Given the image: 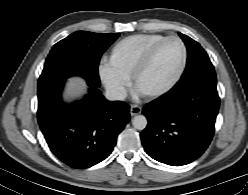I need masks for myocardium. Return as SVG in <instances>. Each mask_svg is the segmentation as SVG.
Returning a JSON list of instances; mask_svg holds the SVG:
<instances>
[{
  "label": "myocardium",
  "mask_w": 248,
  "mask_h": 195,
  "mask_svg": "<svg viewBox=\"0 0 248 195\" xmlns=\"http://www.w3.org/2000/svg\"><path fill=\"white\" fill-rule=\"evenodd\" d=\"M170 40H178L183 48V57H182V62L181 65L176 73V75L174 76V78L163 88L158 89V90H154V91H141L139 89V81L141 79V77L144 75V73L150 68V66L152 65L158 51L161 49V47L168 41ZM187 59H188V50H187V46L185 44V42L177 35H171V36H167L165 37L162 41H160L147 55V57L144 59V61L142 62V64L138 67V69L135 71L134 75H133V79H132V86L133 89L140 93L141 95H143L144 97L147 98H157L160 96H163L165 94H167L169 91H171L176 84L179 82V80L181 79L186 65H187Z\"/></svg>",
  "instance_id": "1"
}]
</instances>
